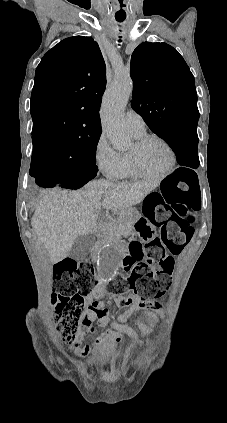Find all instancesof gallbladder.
Returning a JSON list of instances; mask_svg holds the SVG:
<instances>
[{"label":"gallbladder","mask_w":227,"mask_h":423,"mask_svg":"<svg viewBox=\"0 0 227 423\" xmlns=\"http://www.w3.org/2000/svg\"><path fill=\"white\" fill-rule=\"evenodd\" d=\"M94 243V233H87V235H79V237L75 239L71 247V257H73V259H78V261H81V259H85V257H88L91 251V247H93Z\"/></svg>","instance_id":"bac80fb5"}]
</instances>
